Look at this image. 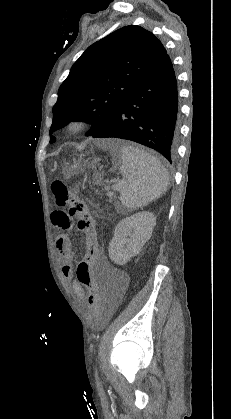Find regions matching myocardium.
<instances>
[{
  "label": "myocardium",
  "mask_w": 231,
  "mask_h": 419,
  "mask_svg": "<svg viewBox=\"0 0 231 419\" xmlns=\"http://www.w3.org/2000/svg\"><path fill=\"white\" fill-rule=\"evenodd\" d=\"M88 123L84 119L75 118L67 122L65 130L69 134H78L86 130Z\"/></svg>",
  "instance_id": "myocardium-1"
}]
</instances>
